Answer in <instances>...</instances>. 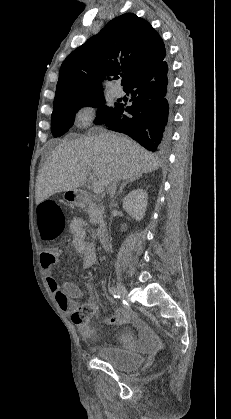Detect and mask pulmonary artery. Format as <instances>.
I'll return each instance as SVG.
<instances>
[{
	"label": "pulmonary artery",
	"instance_id": "obj_1",
	"mask_svg": "<svg viewBox=\"0 0 231 419\" xmlns=\"http://www.w3.org/2000/svg\"><path fill=\"white\" fill-rule=\"evenodd\" d=\"M111 92H112V95L116 98H120L124 95L123 88L120 85H114L112 87Z\"/></svg>",
	"mask_w": 231,
	"mask_h": 419
}]
</instances>
